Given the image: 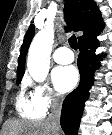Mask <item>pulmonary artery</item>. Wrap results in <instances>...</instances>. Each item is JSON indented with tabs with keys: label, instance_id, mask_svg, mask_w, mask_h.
<instances>
[{
	"label": "pulmonary artery",
	"instance_id": "e3ab8cb5",
	"mask_svg": "<svg viewBox=\"0 0 112 135\" xmlns=\"http://www.w3.org/2000/svg\"><path fill=\"white\" fill-rule=\"evenodd\" d=\"M53 60L58 64H69L74 61V54L67 47H59L53 54Z\"/></svg>",
	"mask_w": 112,
	"mask_h": 135
}]
</instances>
